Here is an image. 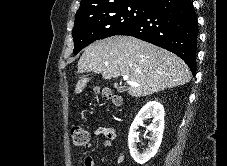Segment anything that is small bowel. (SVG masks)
Wrapping results in <instances>:
<instances>
[{"label":"small bowel","instance_id":"small-bowel-1","mask_svg":"<svg viewBox=\"0 0 227 166\" xmlns=\"http://www.w3.org/2000/svg\"><path fill=\"white\" fill-rule=\"evenodd\" d=\"M93 134L97 137L104 138L103 145L114 152V160L116 163L121 164L125 160V154L117 150L113 145V141L117 138V133L113 128L100 125L93 129ZM83 164L84 166H96L97 161L92 156H85L83 158Z\"/></svg>","mask_w":227,"mask_h":166}]
</instances>
